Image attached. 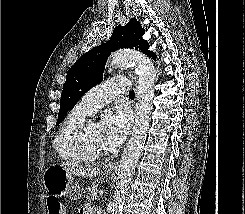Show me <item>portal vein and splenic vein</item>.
<instances>
[{"label": "portal vein and splenic vein", "mask_w": 245, "mask_h": 214, "mask_svg": "<svg viewBox=\"0 0 245 214\" xmlns=\"http://www.w3.org/2000/svg\"><path fill=\"white\" fill-rule=\"evenodd\" d=\"M103 195V191H99V196H102Z\"/></svg>", "instance_id": "portal-vein-and-splenic-vein-1"}]
</instances>
